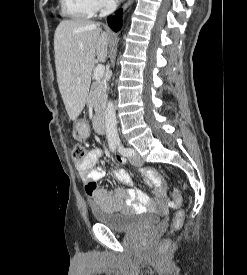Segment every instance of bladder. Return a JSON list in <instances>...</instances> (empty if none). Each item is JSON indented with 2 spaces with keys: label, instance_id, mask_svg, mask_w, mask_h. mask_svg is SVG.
Wrapping results in <instances>:
<instances>
[{
  "label": "bladder",
  "instance_id": "bladder-1",
  "mask_svg": "<svg viewBox=\"0 0 247 275\" xmlns=\"http://www.w3.org/2000/svg\"><path fill=\"white\" fill-rule=\"evenodd\" d=\"M92 215L97 224L109 227L117 232H131L140 226H153L158 224L162 217L146 213L142 219L134 213H110L97 207L92 208Z\"/></svg>",
  "mask_w": 247,
  "mask_h": 275
}]
</instances>
